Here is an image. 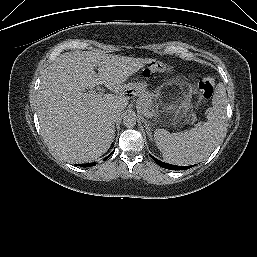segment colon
Here are the masks:
<instances>
[{
  "label": "colon",
  "mask_w": 257,
  "mask_h": 257,
  "mask_svg": "<svg viewBox=\"0 0 257 257\" xmlns=\"http://www.w3.org/2000/svg\"><path fill=\"white\" fill-rule=\"evenodd\" d=\"M171 68L162 62L149 63L143 70V76L151 77L155 74H169ZM216 79L212 75L204 76L199 82V89L204 99H210L213 95Z\"/></svg>",
  "instance_id": "1"
}]
</instances>
